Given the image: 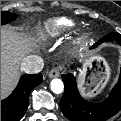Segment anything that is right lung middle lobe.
<instances>
[{
    "label": "right lung middle lobe",
    "instance_id": "dd1d6c3e",
    "mask_svg": "<svg viewBox=\"0 0 121 121\" xmlns=\"http://www.w3.org/2000/svg\"><path fill=\"white\" fill-rule=\"evenodd\" d=\"M17 18L16 14H12L8 11H2L1 12V25L7 24Z\"/></svg>",
    "mask_w": 121,
    "mask_h": 121
}]
</instances>
